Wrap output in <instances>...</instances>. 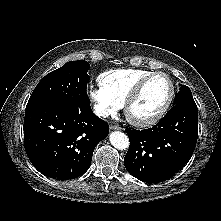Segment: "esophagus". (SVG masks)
<instances>
[{
	"label": "esophagus",
	"mask_w": 221,
	"mask_h": 221,
	"mask_svg": "<svg viewBox=\"0 0 221 221\" xmlns=\"http://www.w3.org/2000/svg\"><path fill=\"white\" fill-rule=\"evenodd\" d=\"M110 129H112V130H120L121 127H120V125H118V124H111V125H110Z\"/></svg>",
	"instance_id": "1"
}]
</instances>
